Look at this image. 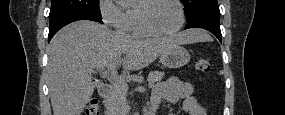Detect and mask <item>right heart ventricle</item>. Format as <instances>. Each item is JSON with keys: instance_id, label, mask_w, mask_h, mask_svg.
I'll list each match as a JSON object with an SVG mask.
<instances>
[{"instance_id": "1", "label": "right heart ventricle", "mask_w": 285, "mask_h": 115, "mask_svg": "<svg viewBox=\"0 0 285 115\" xmlns=\"http://www.w3.org/2000/svg\"><path fill=\"white\" fill-rule=\"evenodd\" d=\"M126 30L136 36H148L149 34L143 29L140 20L138 7H131L126 11L125 20Z\"/></svg>"}]
</instances>
